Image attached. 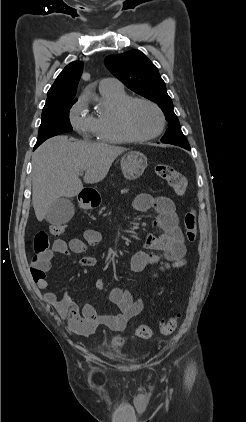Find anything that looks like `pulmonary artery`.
Listing matches in <instances>:
<instances>
[{
  "label": "pulmonary artery",
  "mask_w": 246,
  "mask_h": 422,
  "mask_svg": "<svg viewBox=\"0 0 246 422\" xmlns=\"http://www.w3.org/2000/svg\"><path fill=\"white\" fill-rule=\"evenodd\" d=\"M100 90L106 89H120L122 88V84L114 78H104L99 83Z\"/></svg>",
  "instance_id": "pulmonary-artery-1"
}]
</instances>
